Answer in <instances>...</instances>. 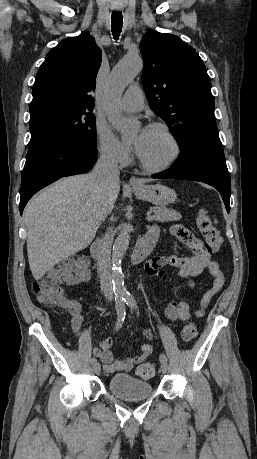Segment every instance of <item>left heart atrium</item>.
Instances as JSON below:
<instances>
[{"label":"left heart atrium","instance_id":"39dd6f15","mask_svg":"<svg viewBox=\"0 0 257 459\" xmlns=\"http://www.w3.org/2000/svg\"><path fill=\"white\" fill-rule=\"evenodd\" d=\"M145 132H146V129H143V130L141 131V139L144 137ZM136 148L138 149V146H136Z\"/></svg>","mask_w":257,"mask_h":459}]
</instances>
